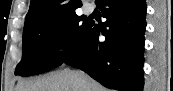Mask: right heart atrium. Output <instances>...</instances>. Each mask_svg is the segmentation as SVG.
<instances>
[{"label": "right heart atrium", "instance_id": "right-heart-atrium-1", "mask_svg": "<svg viewBox=\"0 0 173 91\" xmlns=\"http://www.w3.org/2000/svg\"><path fill=\"white\" fill-rule=\"evenodd\" d=\"M52 50L56 56L63 58L68 55L70 51V44L67 39L59 38L54 42Z\"/></svg>", "mask_w": 173, "mask_h": 91}]
</instances>
